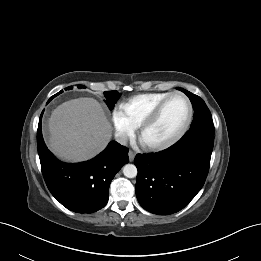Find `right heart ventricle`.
I'll return each instance as SVG.
<instances>
[{
    "mask_svg": "<svg viewBox=\"0 0 261 261\" xmlns=\"http://www.w3.org/2000/svg\"><path fill=\"white\" fill-rule=\"evenodd\" d=\"M169 92H153L133 96L121 103L120 109L134 128H138L150 111Z\"/></svg>",
    "mask_w": 261,
    "mask_h": 261,
    "instance_id": "e07e8e85",
    "label": "right heart ventricle"
}]
</instances>
